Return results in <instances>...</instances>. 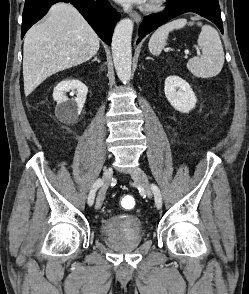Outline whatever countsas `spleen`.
Masks as SVG:
<instances>
[{"label":"spleen","mask_w":249,"mask_h":294,"mask_svg":"<svg viewBox=\"0 0 249 294\" xmlns=\"http://www.w3.org/2000/svg\"><path fill=\"white\" fill-rule=\"evenodd\" d=\"M192 19L189 25L194 24ZM187 24L184 18L174 19L159 27L151 36L149 50L153 55H159L166 45L169 32L181 29ZM201 33L198 37V46L202 48V55L191 58L187 67L196 77L211 78L220 73L224 65V51L218 32L210 25H202Z\"/></svg>","instance_id":"obj_1"}]
</instances>
